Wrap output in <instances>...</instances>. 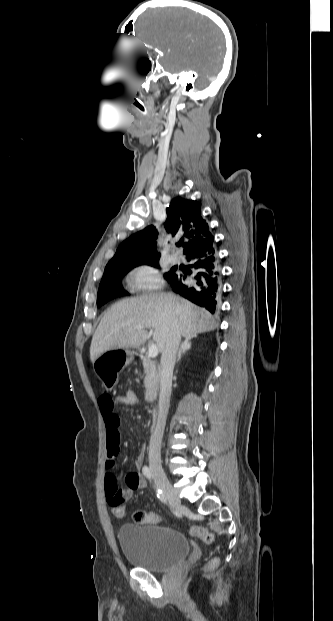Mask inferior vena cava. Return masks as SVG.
Wrapping results in <instances>:
<instances>
[{
	"label": "inferior vena cava",
	"mask_w": 333,
	"mask_h": 621,
	"mask_svg": "<svg viewBox=\"0 0 333 621\" xmlns=\"http://www.w3.org/2000/svg\"><path fill=\"white\" fill-rule=\"evenodd\" d=\"M181 341V332L174 326L166 340L165 348L161 356L160 365V394L158 402V418L156 427L151 435L149 443V462L160 464L161 463V442L166 424V417L168 414L170 404V393L172 386L173 369L176 361V354Z\"/></svg>",
	"instance_id": "1"
}]
</instances>
